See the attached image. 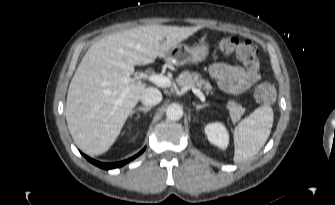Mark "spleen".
Returning a JSON list of instances; mask_svg holds the SVG:
<instances>
[{
    "label": "spleen",
    "instance_id": "spleen-1",
    "mask_svg": "<svg viewBox=\"0 0 335 205\" xmlns=\"http://www.w3.org/2000/svg\"><path fill=\"white\" fill-rule=\"evenodd\" d=\"M273 110L261 106L243 119L234 129L235 163H242L256 155L266 143L273 125Z\"/></svg>",
    "mask_w": 335,
    "mask_h": 205
}]
</instances>
